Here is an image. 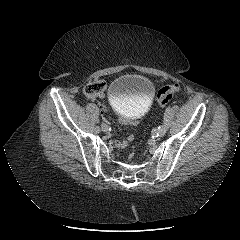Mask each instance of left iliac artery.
<instances>
[{
  "label": "left iliac artery",
  "instance_id": "1",
  "mask_svg": "<svg viewBox=\"0 0 240 240\" xmlns=\"http://www.w3.org/2000/svg\"><path fill=\"white\" fill-rule=\"evenodd\" d=\"M170 110H171V108L168 107V108L166 109L165 113H164V123H168V121H169ZM162 128H163V129H166V128H167V125H166V124H163V125H162Z\"/></svg>",
  "mask_w": 240,
  "mask_h": 240
}]
</instances>
